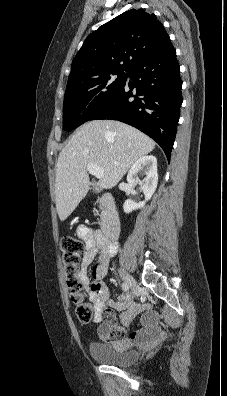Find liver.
<instances>
[{
    "mask_svg": "<svg viewBox=\"0 0 227 396\" xmlns=\"http://www.w3.org/2000/svg\"><path fill=\"white\" fill-rule=\"evenodd\" d=\"M155 148V142L136 128L113 120L83 124L61 150L56 164L55 202L58 216L65 221L89 190L87 164L104 171L103 189L118 184L139 158Z\"/></svg>",
    "mask_w": 227,
    "mask_h": 396,
    "instance_id": "liver-1",
    "label": "liver"
}]
</instances>
